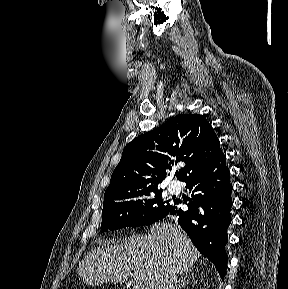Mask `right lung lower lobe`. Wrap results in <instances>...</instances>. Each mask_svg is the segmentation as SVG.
Here are the masks:
<instances>
[{
	"label": "right lung lower lobe",
	"mask_w": 288,
	"mask_h": 289,
	"mask_svg": "<svg viewBox=\"0 0 288 289\" xmlns=\"http://www.w3.org/2000/svg\"><path fill=\"white\" fill-rule=\"evenodd\" d=\"M184 182L195 193L188 210L178 208L177 202L166 212L178 215L179 224L190 237L195 247L225 276L228 242L227 228L231 223L232 184L226 157L220 152L210 163L191 174ZM163 217V218H164Z\"/></svg>",
	"instance_id": "1"
}]
</instances>
